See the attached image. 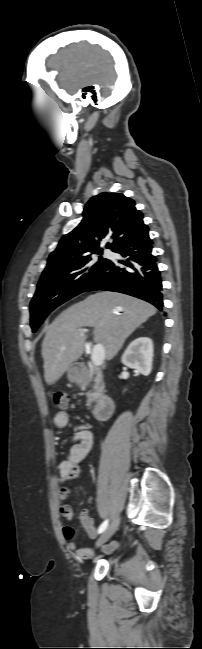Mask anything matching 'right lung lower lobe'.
I'll return each instance as SVG.
<instances>
[{
	"mask_svg": "<svg viewBox=\"0 0 202 649\" xmlns=\"http://www.w3.org/2000/svg\"><path fill=\"white\" fill-rule=\"evenodd\" d=\"M113 251L127 257L126 261H119L126 268H119L117 262L109 260L85 291L121 292L148 301L162 310L161 276L156 258L151 254L148 228L121 241Z\"/></svg>",
	"mask_w": 202,
	"mask_h": 649,
	"instance_id": "obj_1",
	"label": "right lung lower lobe"
}]
</instances>
